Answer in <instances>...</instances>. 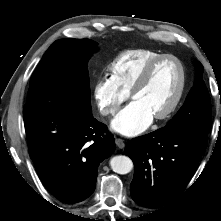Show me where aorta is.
Returning a JSON list of instances; mask_svg holds the SVG:
<instances>
[{"instance_id":"1","label":"aorta","mask_w":221,"mask_h":221,"mask_svg":"<svg viewBox=\"0 0 221 221\" xmlns=\"http://www.w3.org/2000/svg\"><path fill=\"white\" fill-rule=\"evenodd\" d=\"M110 166L112 170L118 174H127L133 168L132 160L124 155H117L111 158Z\"/></svg>"}]
</instances>
